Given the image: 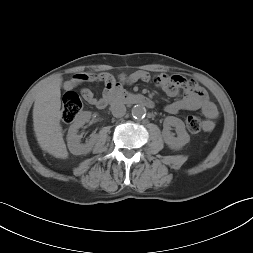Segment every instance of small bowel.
<instances>
[{
	"label": "small bowel",
	"mask_w": 253,
	"mask_h": 253,
	"mask_svg": "<svg viewBox=\"0 0 253 253\" xmlns=\"http://www.w3.org/2000/svg\"><path fill=\"white\" fill-rule=\"evenodd\" d=\"M119 79L124 82L149 81L151 75L145 71H137L131 75H120ZM153 81L163 92L170 97H176L183 91V97L165 106V111L170 114H178L181 111L200 110L205 116L204 130L211 131L218 117L216 105L209 99L206 91L192 80L185 79L180 75L156 74ZM84 83L105 84L106 88L115 83V78L107 73H79L64 83L65 90L74 89ZM82 97L91 105L101 107L102 97H98L88 88L81 90Z\"/></svg>",
	"instance_id": "obj_1"
}]
</instances>
